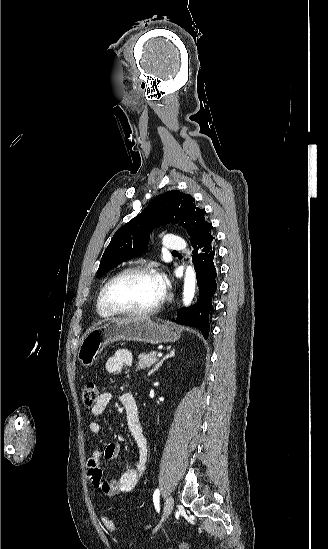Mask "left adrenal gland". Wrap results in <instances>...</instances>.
<instances>
[{
  "label": "left adrenal gland",
  "instance_id": "obj_1",
  "mask_svg": "<svg viewBox=\"0 0 328 549\" xmlns=\"http://www.w3.org/2000/svg\"><path fill=\"white\" fill-rule=\"evenodd\" d=\"M174 355H175V349H171L169 355H166V357H164V359H162V361H160V363H158V365H156V367L152 369V373H154V371H158L159 367H162L163 361H166V359H170V357H174Z\"/></svg>",
  "mask_w": 328,
  "mask_h": 549
}]
</instances>
